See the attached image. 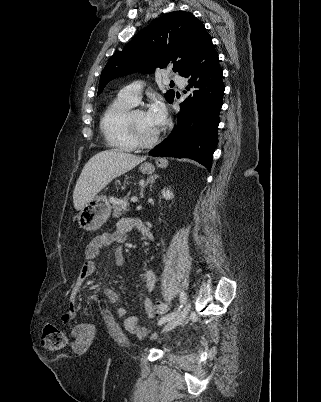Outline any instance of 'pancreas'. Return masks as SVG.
Returning <instances> with one entry per match:
<instances>
[{
    "label": "pancreas",
    "instance_id": "cf45deb5",
    "mask_svg": "<svg viewBox=\"0 0 321 402\" xmlns=\"http://www.w3.org/2000/svg\"><path fill=\"white\" fill-rule=\"evenodd\" d=\"M113 205V217L119 218L123 214H125L129 209V198L125 197L123 199H110Z\"/></svg>",
    "mask_w": 321,
    "mask_h": 402
}]
</instances>
